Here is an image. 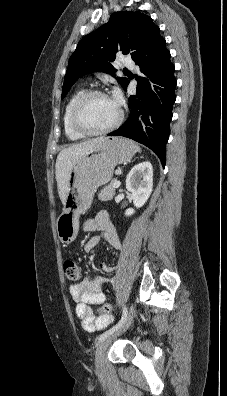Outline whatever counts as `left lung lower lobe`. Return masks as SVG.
Segmentation results:
<instances>
[{
	"label": "left lung lower lobe",
	"instance_id": "1",
	"mask_svg": "<svg viewBox=\"0 0 227 396\" xmlns=\"http://www.w3.org/2000/svg\"><path fill=\"white\" fill-rule=\"evenodd\" d=\"M134 62L145 76L138 79L136 95L128 99L131 109L128 120L108 135L124 136L144 144L159 157L164 167L169 124L176 99L175 67L162 37L135 58ZM128 83L129 81L125 89Z\"/></svg>",
	"mask_w": 227,
	"mask_h": 396
}]
</instances>
